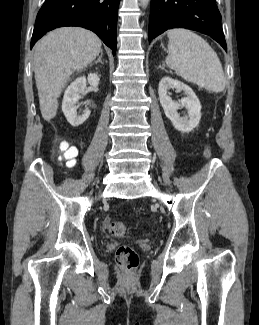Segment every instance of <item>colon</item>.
Wrapping results in <instances>:
<instances>
[{
  "label": "colon",
  "instance_id": "1",
  "mask_svg": "<svg viewBox=\"0 0 259 325\" xmlns=\"http://www.w3.org/2000/svg\"><path fill=\"white\" fill-rule=\"evenodd\" d=\"M59 151L65 164L68 167L74 166L77 155L75 149L63 142L59 145ZM106 229L111 236L116 238L123 237L127 231V227L124 223L116 221L107 222ZM116 261L121 268L132 271L137 267L139 259L136 251L132 247L121 245L116 251Z\"/></svg>",
  "mask_w": 259,
  "mask_h": 325
}]
</instances>
